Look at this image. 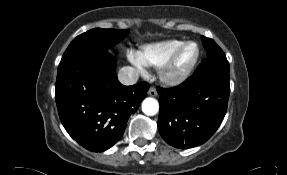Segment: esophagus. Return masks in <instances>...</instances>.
Instances as JSON below:
<instances>
[{"mask_svg":"<svg viewBox=\"0 0 287 175\" xmlns=\"http://www.w3.org/2000/svg\"><path fill=\"white\" fill-rule=\"evenodd\" d=\"M148 95H150V96H157L158 93H157L156 87H154V86L150 87L149 91H148Z\"/></svg>","mask_w":287,"mask_h":175,"instance_id":"34e87169","label":"esophagus"}]
</instances>
